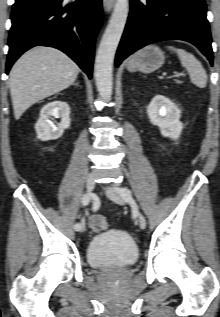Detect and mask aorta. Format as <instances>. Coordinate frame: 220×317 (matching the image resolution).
Here are the masks:
<instances>
[{
  "label": "aorta",
  "instance_id": "762f6f07",
  "mask_svg": "<svg viewBox=\"0 0 220 317\" xmlns=\"http://www.w3.org/2000/svg\"><path fill=\"white\" fill-rule=\"evenodd\" d=\"M129 12V0H116L114 11L102 36L95 60L94 76L102 99L112 95V67Z\"/></svg>",
  "mask_w": 220,
  "mask_h": 317
}]
</instances>
